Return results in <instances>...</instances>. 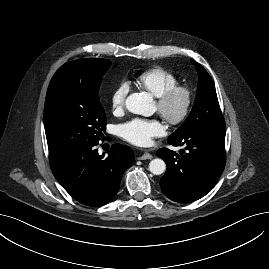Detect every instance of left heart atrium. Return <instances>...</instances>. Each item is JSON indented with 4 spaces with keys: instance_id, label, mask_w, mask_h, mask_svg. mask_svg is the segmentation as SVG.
Segmentation results:
<instances>
[{
    "instance_id": "obj_1",
    "label": "left heart atrium",
    "mask_w": 269,
    "mask_h": 269,
    "mask_svg": "<svg viewBox=\"0 0 269 269\" xmlns=\"http://www.w3.org/2000/svg\"><path fill=\"white\" fill-rule=\"evenodd\" d=\"M164 131L158 119L133 118L118 127V134L124 140L135 145H148L152 139Z\"/></svg>"
}]
</instances>
